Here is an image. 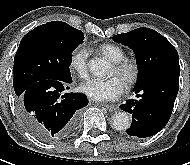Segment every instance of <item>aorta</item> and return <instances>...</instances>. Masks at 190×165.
I'll use <instances>...</instances> for the list:
<instances>
[{"label":"aorta","instance_id":"aorta-1","mask_svg":"<svg viewBox=\"0 0 190 165\" xmlns=\"http://www.w3.org/2000/svg\"><path fill=\"white\" fill-rule=\"evenodd\" d=\"M90 72L97 77L108 74L109 63L103 58H94L89 63ZM112 125L116 130L124 131L131 125L130 117L125 112L116 113L112 118Z\"/></svg>","mask_w":190,"mask_h":165}]
</instances>
